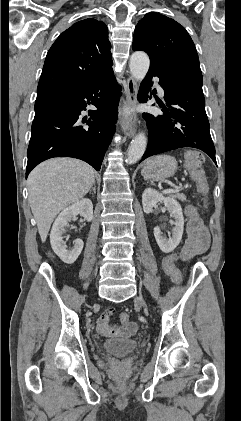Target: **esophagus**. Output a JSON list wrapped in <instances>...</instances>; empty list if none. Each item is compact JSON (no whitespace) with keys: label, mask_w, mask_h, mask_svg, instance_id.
Instances as JSON below:
<instances>
[{"label":"esophagus","mask_w":241,"mask_h":421,"mask_svg":"<svg viewBox=\"0 0 241 421\" xmlns=\"http://www.w3.org/2000/svg\"><path fill=\"white\" fill-rule=\"evenodd\" d=\"M137 84L133 77L129 76L127 79V92L124 101V107L126 109L125 120L122 123V131L129 137H133L136 132L137 125V114L128 113L129 109H134L137 104Z\"/></svg>","instance_id":"obj_1"}]
</instances>
